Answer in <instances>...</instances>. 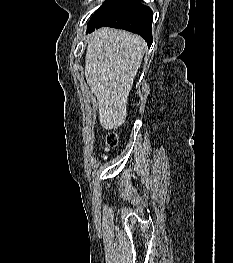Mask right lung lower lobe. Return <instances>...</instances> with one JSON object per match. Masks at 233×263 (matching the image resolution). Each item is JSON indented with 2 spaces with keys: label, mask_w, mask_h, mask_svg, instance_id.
<instances>
[{
  "label": "right lung lower lobe",
  "mask_w": 233,
  "mask_h": 263,
  "mask_svg": "<svg viewBox=\"0 0 233 263\" xmlns=\"http://www.w3.org/2000/svg\"><path fill=\"white\" fill-rule=\"evenodd\" d=\"M153 13L148 6L141 4V0H129L123 9L106 23H88L87 32H92L102 26L125 29L142 36L150 47L152 44Z\"/></svg>",
  "instance_id": "obj_1"
}]
</instances>
